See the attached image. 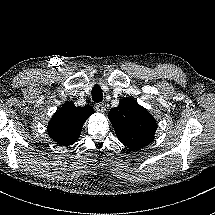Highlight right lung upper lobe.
<instances>
[{"label":"right lung upper lobe","instance_id":"obj_1","mask_svg":"<svg viewBox=\"0 0 215 215\" xmlns=\"http://www.w3.org/2000/svg\"><path fill=\"white\" fill-rule=\"evenodd\" d=\"M93 113L90 106L76 107L68 101L53 115L47 132L59 145H72L79 138L84 122Z\"/></svg>","mask_w":215,"mask_h":215}]
</instances>
